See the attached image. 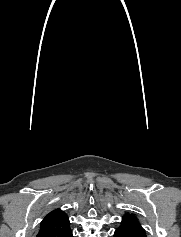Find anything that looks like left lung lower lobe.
I'll return each mask as SVG.
<instances>
[{"label": "left lung lower lobe", "mask_w": 181, "mask_h": 237, "mask_svg": "<svg viewBox=\"0 0 181 237\" xmlns=\"http://www.w3.org/2000/svg\"><path fill=\"white\" fill-rule=\"evenodd\" d=\"M114 237H146V233L138 229H117L114 233Z\"/></svg>", "instance_id": "1"}]
</instances>
